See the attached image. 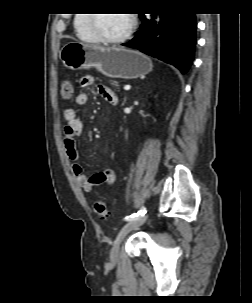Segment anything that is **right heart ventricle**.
Returning <instances> with one entry per match:
<instances>
[{
  "label": "right heart ventricle",
  "instance_id": "right-heart-ventricle-1",
  "mask_svg": "<svg viewBox=\"0 0 252 303\" xmlns=\"http://www.w3.org/2000/svg\"><path fill=\"white\" fill-rule=\"evenodd\" d=\"M74 25L81 37L86 39H95L94 32L90 25V16H88V14H78L74 19Z\"/></svg>",
  "mask_w": 252,
  "mask_h": 303
}]
</instances>
